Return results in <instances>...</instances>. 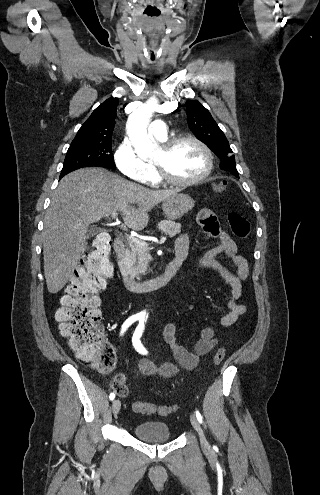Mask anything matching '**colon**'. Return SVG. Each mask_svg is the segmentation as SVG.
<instances>
[{"label":"colon","instance_id":"1","mask_svg":"<svg viewBox=\"0 0 320 495\" xmlns=\"http://www.w3.org/2000/svg\"><path fill=\"white\" fill-rule=\"evenodd\" d=\"M227 182L215 187L217 193L225 191ZM232 233L245 239L250 232L248 220L240 213L232 212L227 216ZM110 239L98 237L90 251L85 255L82 267L76 272L66 287L61 306L56 312L60 333L68 338L71 348L85 362L90 363L100 372L110 371L116 362L112 345L103 339L100 325L101 312L97 294L104 290L113 275V265L109 255ZM225 358V349L220 347L213 357L215 365H220ZM113 390L118 396L127 395L125 379L118 376L113 381ZM133 411L141 414L157 413L166 416L176 410V406L156 405L150 402L136 401Z\"/></svg>","mask_w":320,"mask_h":495}]
</instances>
